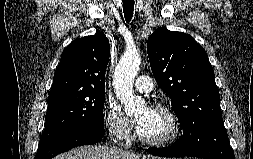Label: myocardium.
<instances>
[{"mask_svg": "<svg viewBox=\"0 0 253 159\" xmlns=\"http://www.w3.org/2000/svg\"><path fill=\"white\" fill-rule=\"evenodd\" d=\"M151 108L162 111L168 117L171 124V132L168 136L161 139H149L144 137L139 130H137V137L139 141L145 145L150 146H167L174 143L181 135V123L175 112L167 105L162 103H154Z\"/></svg>", "mask_w": 253, "mask_h": 159, "instance_id": "obj_1", "label": "myocardium"}]
</instances>
